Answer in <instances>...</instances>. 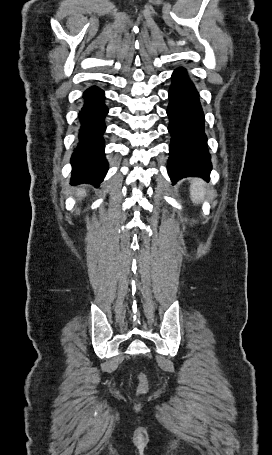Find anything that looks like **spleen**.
<instances>
[{
  "instance_id": "spleen-1",
  "label": "spleen",
  "mask_w": 272,
  "mask_h": 455,
  "mask_svg": "<svg viewBox=\"0 0 272 455\" xmlns=\"http://www.w3.org/2000/svg\"><path fill=\"white\" fill-rule=\"evenodd\" d=\"M205 187L204 182L201 179H194L191 182L190 186V198L192 202L196 205L204 198Z\"/></svg>"
}]
</instances>
